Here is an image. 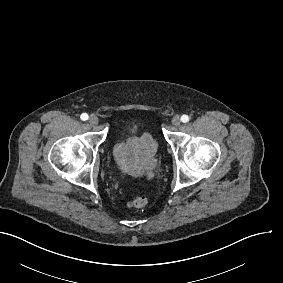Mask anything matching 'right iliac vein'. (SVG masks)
Listing matches in <instances>:
<instances>
[{
	"label": "right iliac vein",
	"instance_id": "right-iliac-vein-1",
	"mask_svg": "<svg viewBox=\"0 0 283 283\" xmlns=\"http://www.w3.org/2000/svg\"><path fill=\"white\" fill-rule=\"evenodd\" d=\"M99 122L98 118L95 116V115H91L89 117V123L92 125V126H95L97 125Z\"/></svg>",
	"mask_w": 283,
	"mask_h": 283
}]
</instances>
